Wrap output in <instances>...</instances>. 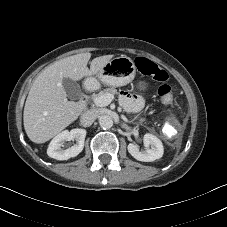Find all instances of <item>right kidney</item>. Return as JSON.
Wrapping results in <instances>:
<instances>
[{"instance_id": "1", "label": "right kidney", "mask_w": 227, "mask_h": 227, "mask_svg": "<svg viewBox=\"0 0 227 227\" xmlns=\"http://www.w3.org/2000/svg\"><path fill=\"white\" fill-rule=\"evenodd\" d=\"M86 137L85 129H72L71 131L65 130L57 134L50 142L47 149L49 157L57 160H67L71 157L77 156L84 148V141ZM76 141L72 147L62 149L65 141Z\"/></svg>"}]
</instances>
